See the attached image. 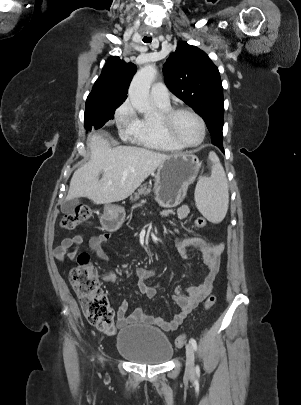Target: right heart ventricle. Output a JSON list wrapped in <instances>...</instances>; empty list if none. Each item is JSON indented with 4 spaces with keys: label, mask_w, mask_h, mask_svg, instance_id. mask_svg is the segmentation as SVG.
Instances as JSON below:
<instances>
[{
    "label": "right heart ventricle",
    "mask_w": 301,
    "mask_h": 405,
    "mask_svg": "<svg viewBox=\"0 0 301 405\" xmlns=\"http://www.w3.org/2000/svg\"><path fill=\"white\" fill-rule=\"evenodd\" d=\"M156 105L160 113L169 109V106ZM127 136L136 144L148 149L163 152H178L182 150V147L163 135L158 125V118H137Z\"/></svg>",
    "instance_id": "e07e8e85"
}]
</instances>
